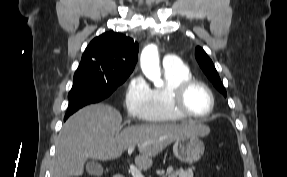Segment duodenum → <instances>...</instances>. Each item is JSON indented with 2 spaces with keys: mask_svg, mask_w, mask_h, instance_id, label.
<instances>
[{
  "mask_svg": "<svg viewBox=\"0 0 287 177\" xmlns=\"http://www.w3.org/2000/svg\"><path fill=\"white\" fill-rule=\"evenodd\" d=\"M113 177H124V176H122V175H115V176H113Z\"/></svg>",
  "mask_w": 287,
  "mask_h": 177,
  "instance_id": "1",
  "label": "duodenum"
}]
</instances>
